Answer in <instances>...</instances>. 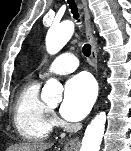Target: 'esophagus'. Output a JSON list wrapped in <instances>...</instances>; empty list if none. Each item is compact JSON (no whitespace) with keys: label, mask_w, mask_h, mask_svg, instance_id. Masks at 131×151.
<instances>
[{"label":"esophagus","mask_w":131,"mask_h":151,"mask_svg":"<svg viewBox=\"0 0 131 151\" xmlns=\"http://www.w3.org/2000/svg\"><path fill=\"white\" fill-rule=\"evenodd\" d=\"M81 1H82V8H83V11H84L86 34H87L88 40L91 44V64L94 68L95 73H97L96 42L94 40L93 29H92V26H91L90 11H89L88 6H87V1L86 0H81ZM78 144H79V137H75V138L70 139L65 144V148L66 149H74Z\"/></svg>","instance_id":"1"}]
</instances>
